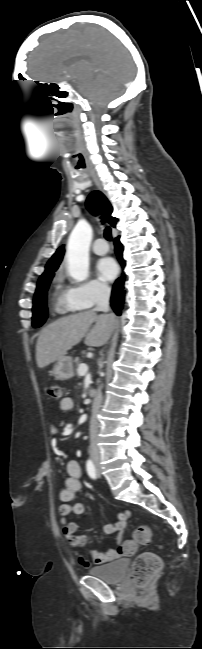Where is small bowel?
Instances as JSON below:
<instances>
[{"instance_id":"obj_1","label":"small bowel","mask_w":202,"mask_h":649,"mask_svg":"<svg viewBox=\"0 0 202 649\" xmlns=\"http://www.w3.org/2000/svg\"><path fill=\"white\" fill-rule=\"evenodd\" d=\"M59 407L63 412H71L74 408L73 399L70 397L63 398ZM51 435L53 437L62 436V432L59 428L52 425L50 428ZM66 473L67 478L65 481L64 488L60 491L59 498L62 504L59 507V513L61 516V526L65 539L67 542L74 548L83 547L87 544L88 538L85 534L77 533L79 529L78 522L68 521V516L71 514L74 515H83L85 513V507L82 503H73L76 494L82 488V469L80 463L75 460H69L66 463ZM131 513L127 509H123L119 512L116 521L113 524H107L104 527V532L106 534H116V541L118 547L116 549H111L106 552H98L92 550L88 553L87 556L76 551V559L80 566L83 568H89L92 564L100 565L107 562H111L115 559L123 556L122 545H123V531L126 527L127 521L129 520Z\"/></svg>"}]
</instances>
